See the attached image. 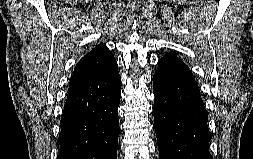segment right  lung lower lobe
<instances>
[{
	"label": "right lung lower lobe",
	"mask_w": 253,
	"mask_h": 159,
	"mask_svg": "<svg viewBox=\"0 0 253 159\" xmlns=\"http://www.w3.org/2000/svg\"><path fill=\"white\" fill-rule=\"evenodd\" d=\"M120 81L116 62L69 88L57 159H117Z\"/></svg>",
	"instance_id": "right-lung-lower-lobe-1"
}]
</instances>
